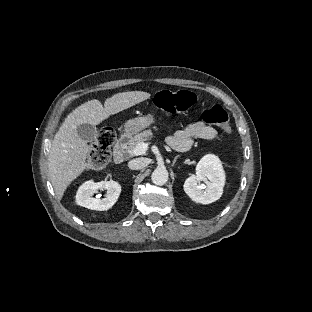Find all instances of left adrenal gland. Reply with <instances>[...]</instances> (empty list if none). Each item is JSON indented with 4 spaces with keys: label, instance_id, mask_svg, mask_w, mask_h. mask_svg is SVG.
I'll list each match as a JSON object with an SVG mask.
<instances>
[{
    "label": "left adrenal gland",
    "instance_id": "1",
    "mask_svg": "<svg viewBox=\"0 0 312 312\" xmlns=\"http://www.w3.org/2000/svg\"><path fill=\"white\" fill-rule=\"evenodd\" d=\"M179 157H181V155H178V156L174 159L173 163L170 164L172 167L175 166V164H176V162H177V160H178Z\"/></svg>",
    "mask_w": 312,
    "mask_h": 312
}]
</instances>
